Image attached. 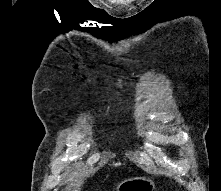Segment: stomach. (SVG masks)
Returning <instances> with one entry per match:
<instances>
[{
	"instance_id": "1",
	"label": "stomach",
	"mask_w": 221,
	"mask_h": 191,
	"mask_svg": "<svg viewBox=\"0 0 221 191\" xmlns=\"http://www.w3.org/2000/svg\"><path fill=\"white\" fill-rule=\"evenodd\" d=\"M155 184L150 178L136 177L126 179L116 186V191H154Z\"/></svg>"
}]
</instances>
